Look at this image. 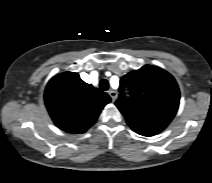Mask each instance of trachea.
Returning a JSON list of instances; mask_svg holds the SVG:
<instances>
[{"label": "trachea", "mask_w": 212, "mask_h": 183, "mask_svg": "<svg viewBox=\"0 0 212 183\" xmlns=\"http://www.w3.org/2000/svg\"><path fill=\"white\" fill-rule=\"evenodd\" d=\"M99 86L102 90L106 91L109 89V82L106 79H101Z\"/></svg>", "instance_id": "obj_1"}]
</instances>
